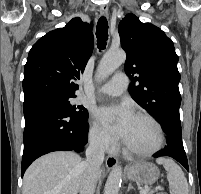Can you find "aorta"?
Instances as JSON below:
<instances>
[{"label":"aorta","mask_w":201,"mask_h":194,"mask_svg":"<svg viewBox=\"0 0 201 194\" xmlns=\"http://www.w3.org/2000/svg\"><path fill=\"white\" fill-rule=\"evenodd\" d=\"M126 60V53L122 49L110 50L101 59L96 77L105 79L111 75L120 65ZM122 181V169L120 166H115L106 181L104 194H118Z\"/></svg>","instance_id":"762f6f07"}]
</instances>
